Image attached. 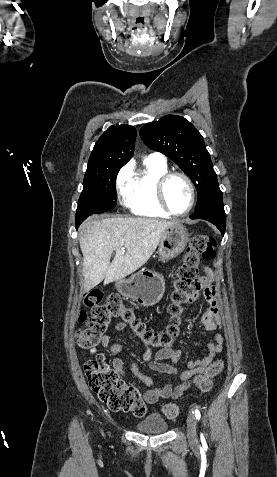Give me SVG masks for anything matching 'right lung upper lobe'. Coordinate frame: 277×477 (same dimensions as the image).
I'll list each match as a JSON object with an SVG mask.
<instances>
[{
    "label": "right lung upper lobe",
    "mask_w": 277,
    "mask_h": 477,
    "mask_svg": "<svg viewBox=\"0 0 277 477\" xmlns=\"http://www.w3.org/2000/svg\"><path fill=\"white\" fill-rule=\"evenodd\" d=\"M136 134L130 125L109 127L96 142L86 173L125 165L133 156Z\"/></svg>",
    "instance_id": "cb5924a9"
}]
</instances>
